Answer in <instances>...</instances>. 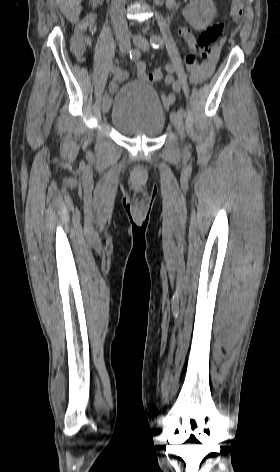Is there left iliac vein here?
<instances>
[{"label":"left iliac vein","instance_id":"left-iliac-vein-1","mask_svg":"<svg viewBox=\"0 0 280 472\" xmlns=\"http://www.w3.org/2000/svg\"><path fill=\"white\" fill-rule=\"evenodd\" d=\"M133 43L136 45L137 48H139L140 50H142L144 52L148 51V49H149L148 40L146 38L142 37V36H134L133 37ZM170 119H171V122L174 125L175 129L177 130V132L181 136V138H183L184 124H183L182 116L180 114H178L177 112H172L170 114Z\"/></svg>","mask_w":280,"mask_h":472}]
</instances>
